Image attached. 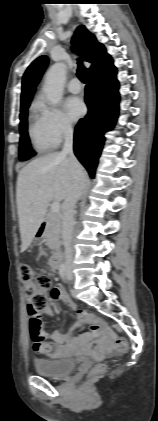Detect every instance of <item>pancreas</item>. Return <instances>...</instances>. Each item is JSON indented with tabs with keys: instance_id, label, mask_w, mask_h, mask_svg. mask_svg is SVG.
Returning <instances> with one entry per match:
<instances>
[{
	"instance_id": "obj_1",
	"label": "pancreas",
	"mask_w": 158,
	"mask_h": 421,
	"mask_svg": "<svg viewBox=\"0 0 158 421\" xmlns=\"http://www.w3.org/2000/svg\"><path fill=\"white\" fill-rule=\"evenodd\" d=\"M61 219L60 213H54L52 211L47 214V224L44 231V237L47 246L54 250L60 246L61 238Z\"/></svg>"
}]
</instances>
